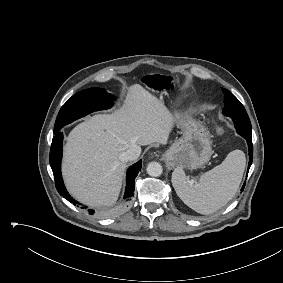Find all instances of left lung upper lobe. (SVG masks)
<instances>
[{"instance_id": "5c2ea615", "label": "left lung upper lobe", "mask_w": 283, "mask_h": 283, "mask_svg": "<svg viewBox=\"0 0 283 283\" xmlns=\"http://www.w3.org/2000/svg\"><path fill=\"white\" fill-rule=\"evenodd\" d=\"M225 98L224 103L225 107L223 109V114L225 116L231 117L234 121L241 118L243 120H249V117L245 111L244 106L239 102V100L227 89H222ZM237 122H235V128L238 132Z\"/></svg>"}]
</instances>
